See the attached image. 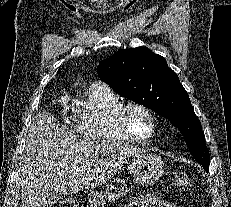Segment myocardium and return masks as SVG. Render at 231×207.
Here are the masks:
<instances>
[{"mask_svg":"<svg viewBox=\"0 0 231 207\" xmlns=\"http://www.w3.org/2000/svg\"><path fill=\"white\" fill-rule=\"evenodd\" d=\"M131 108H139L143 110L149 117L152 125L151 133L147 137H138L132 133V131L129 128V125L127 123V112ZM115 121L120 129V131L131 141H134L136 143H147L151 141L156 133H157V127H158V122H157V117L155 112L146 104H143L141 102L137 101H128V102H123L120 104V106L116 109L115 111Z\"/></svg>","mask_w":231,"mask_h":207,"instance_id":"myocardium-1","label":"myocardium"}]
</instances>
